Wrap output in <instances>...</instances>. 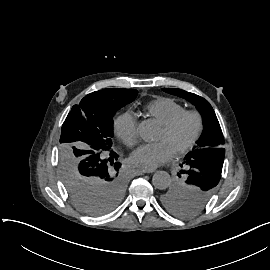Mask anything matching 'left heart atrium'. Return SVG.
Here are the masks:
<instances>
[{"label":"left heart atrium","mask_w":270,"mask_h":270,"mask_svg":"<svg viewBox=\"0 0 270 270\" xmlns=\"http://www.w3.org/2000/svg\"><path fill=\"white\" fill-rule=\"evenodd\" d=\"M175 147L169 141L145 144L132 154V161L144 170H153L160 164L170 160Z\"/></svg>","instance_id":"1"}]
</instances>
